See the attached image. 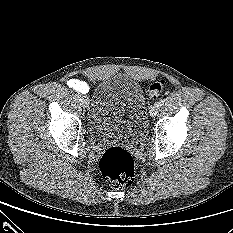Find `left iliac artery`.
Instances as JSON below:
<instances>
[{
	"label": "left iliac artery",
	"mask_w": 233,
	"mask_h": 233,
	"mask_svg": "<svg viewBox=\"0 0 233 233\" xmlns=\"http://www.w3.org/2000/svg\"><path fill=\"white\" fill-rule=\"evenodd\" d=\"M164 99L163 98H161L160 100H159V102H158V104L161 106V105H163L164 104Z\"/></svg>",
	"instance_id": "1"
}]
</instances>
